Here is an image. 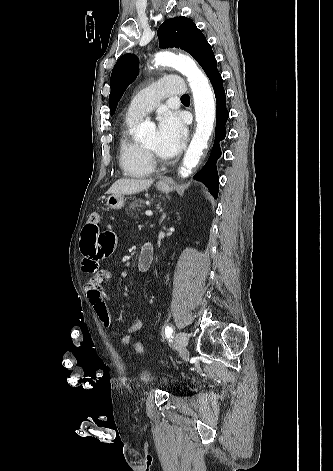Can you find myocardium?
<instances>
[{
  "label": "myocardium",
  "instance_id": "obj_1",
  "mask_svg": "<svg viewBox=\"0 0 333 471\" xmlns=\"http://www.w3.org/2000/svg\"><path fill=\"white\" fill-rule=\"evenodd\" d=\"M143 148L146 151V153L150 156L152 161H162V159L158 157V155L156 154L154 150L146 147L145 145H143Z\"/></svg>",
  "mask_w": 333,
  "mask_h": 471
}]
</instances>
